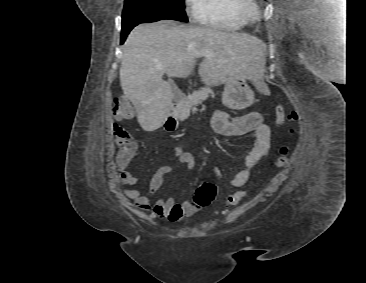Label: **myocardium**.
<instances>
[{
    "label": "myocardium",
    "instance_id": "myocardium-1",
    "mask_svg": "<svg viewBox=\"0 0 366 283\" xmlns=\"http://www.w3.org/2000/svg\"><path fill=\"white\" fill-rule=\"evenodd\" d=\"M241 12L248 22H253L258 17V5L255 0H244Z\"/></svg>",
    "mask_w": 366,
    "mask_h": 283
}]
</instances>
